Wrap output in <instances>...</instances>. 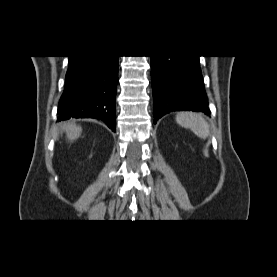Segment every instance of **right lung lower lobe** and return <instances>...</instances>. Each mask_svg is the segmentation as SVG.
Listing matches in <instances>:
<instances>
[{
	"mask_svg": "<svg viewBox=\"0 0 277 277\" xmlns=\"http://www.w3.org/2000/svg\"><path fill=\"white\" fill-rule=\"evenodd\" d=\"M116 55L69 56L66 85L58 107V120L95 118L115 131L118 83Z\"/></svg>",
	"mask_w": 277,
	"mask_h": 277,
	"instance_id": "98d812e1",
	"label": "right lung lower lobe"
}]
</instances>
